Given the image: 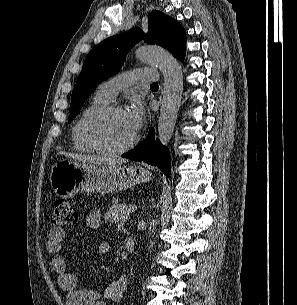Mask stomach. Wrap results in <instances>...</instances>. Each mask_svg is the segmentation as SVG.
Returning <instances> with one entry per match:
<instances>
[{
    "label": "stomach",
    "mask_w": 297,
    "mask_h": 305,
    "mask_svg": "<svg viewBox=\"0 0 297 305\" xmlns=\"http://www.w3.org/2000/svg\"><path fill=\"white\" fill-rule=\"evenodd\" d=\"M152 174L141 166H108L61 160L51 169L50 184L60 198H72L79 191L112 193L150 181Z\"/></svg>",
    "instance_id": "0dacf381"
}]
</instances>
